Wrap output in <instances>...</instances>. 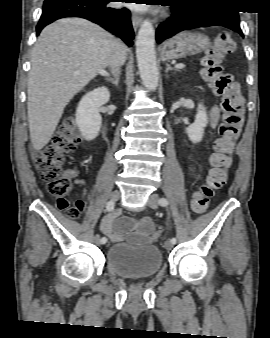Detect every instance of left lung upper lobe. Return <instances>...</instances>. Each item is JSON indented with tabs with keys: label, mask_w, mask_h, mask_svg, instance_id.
I'll use <instances>...</instances> for the list:
<instances>
[{
	"label": "left lung upper lobe",
	"mask_w": 270,
	"mask_h": 338,
	"mask_svg": "<svg viewBox=\"0 0 270 338\" xmlns=\"http://www.w3.org/2000/svg\"><path fill=\"white\" fill-rule=\"evenodd\" d=\"M192 1H194L195 3H201V2H223L226 0H192Z\"/></svg>",
	"instance_id": "obj_1"
}]
</instances>
